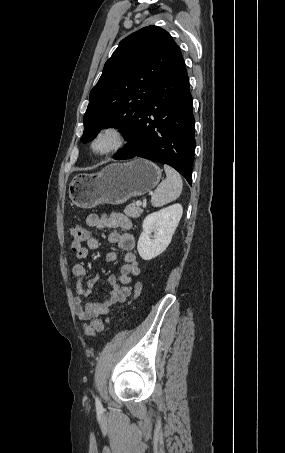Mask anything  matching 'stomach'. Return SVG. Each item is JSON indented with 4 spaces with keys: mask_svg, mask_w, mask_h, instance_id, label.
I'll return each mask as SVG.
<instances>
[{
    "mask_svg": "<svg viewBox=\"0 0 285 453\" xmlns=\"http://www.w3.org/2000/svg\"><path fill=\"white\" fill-rule=\"evenodd\" d=\"M161 169L145 159L112 163L95 174H78L70 183L72 203L80 208L120 205L150 192L160 181Z\"/></svg>",
    "mask_w": 285,
    "mask_h": 453,
    "instance_id": "stomach-1",
    "label": "stomach"
}]
</instances>
